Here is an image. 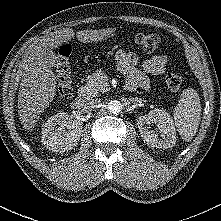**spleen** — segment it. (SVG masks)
Here are the masks:
<instances>
[{"mask_svg": "<svg viewBox=\"0 0 221 221\" xmlns=\"http://www.w3.org/2000/svg\"><path fill=\"white\" fill-rule=\"evenodd\" d=\"M200 119L201 104L198 93L191 88L184 90L174 110L175 126L184 141L190 142L193 139Z\"/></svg>", "mask_w": 221, "mask_h": 221, "instance_id": "1", "label": "spleen"}]
</instances>
